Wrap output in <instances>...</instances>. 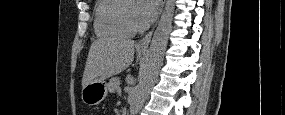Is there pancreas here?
Instances as JSON below:
<instances>
[{
	"label": "pancreas",
	"instance_id": "obj_1",
	"mask_svg": "<svg viewBox=\"0 0 285 115\" xmlns=\"http://www.w3.org/2000/svg\"><path fill=\"white\" fill-rule=\"evenodd\" d=\"M120 85V79L118 77L111 78L107 84L108 90L110 93H114L118 90Z\"/></svg>",
	"mask_w": 285,
	"mask_h": 115
}]
</instances>
